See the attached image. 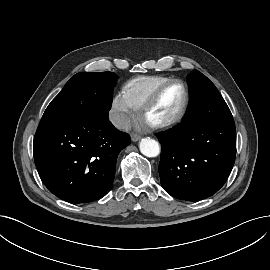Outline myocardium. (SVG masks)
I'll return each mask as SVG.
<instances>
[{
	"instance_id": "1",
	"label": "myocardium",
	"mask_w": 270,
	"mask_h": 270,
	"mask_svg": "<svg viewBox=\"0 0 270 270\" xmlns=\"http://www.w3.org/2000/svg\"><path fill=\"white\" fill-rule=\"evenodd\" d=\"M173 84H179L183 88L184 98L181 105L167 118L157 122H149L146 117L154 105L158 102L163 91ZM190 103V92L187 84L180 79H170L161 85L151 94L148 100L140 108V118L147 123V125L154 130H163L178 124L186 115Z\"/></svg>"
}]
</instances>
